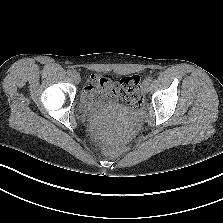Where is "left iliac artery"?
Wrapping results in <instances>:
<instances>
[{
  "label": "left iliac artery",
  "mask_w": 223,
  "mask_h": 223,
  "mask_svg": "<svg viewBox=\"0 0 223 223\" xmlns=\"http://www.w3.org/2000/svg\"><path fill=\"white\" fill-rule=\"evenodd\" d=\"M152 80H153V77H152V76H149V77L146 79V81H148L149 83L152 82Z\"/></svg>",
  "instance_id": "1"
}]
</instances>
